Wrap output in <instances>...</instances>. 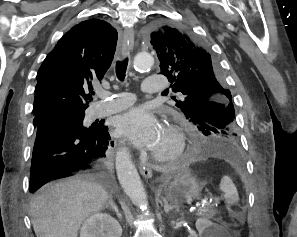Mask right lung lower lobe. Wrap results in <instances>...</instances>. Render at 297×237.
<instances>
[{
  "mask_svg": "<svg viewBox=\"0 0 297 237\" xmlns=\"http://www.w3.org/2000/svg\"><path fill=\"white\" fill-rule=\"evenodd\" d=\"M36 128L30 170L31 193L52 180L75 174L108 177L105 150L110 136L102 123L83 128L61 113H52L41 118Z\"/></svg>",
  "mask_w": 297,
  "mask_h": 237,
  "instance_id": "98d812e1",
  "label": "right lung lower lobe"
}]
</instances>
